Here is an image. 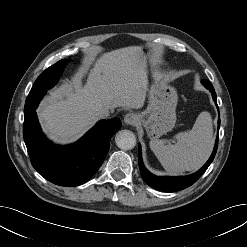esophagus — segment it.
I'll list each match as a JSON object with an SVG mask.
<instances>
[{"mask_svg": "<svg viewBox=\"0 0 247 247\" xmlns=\"http://www.w3.org/2000/svg\"><path fill=\"white\" fill-rule=\"evenodd\" d=\"M139 121L138 115L135 113H128L124 117V122L128 125H136Z\"/></svg>", "mask_w": 247, "mask_h": 247, "instance_id": "1", "label": "esophagus"}]
</instances>
